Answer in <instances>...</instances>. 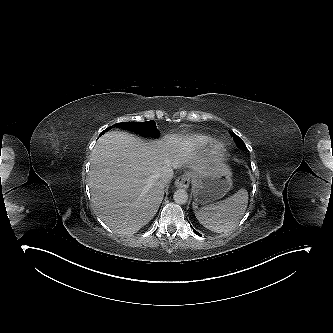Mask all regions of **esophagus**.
Masks as SVG:
<instances>
[{
    "label": "esophagus",
    "instance_id": "34e87169",
    "mask_svg": "<svg viewBox=\"0 0 333 333\" xmlns=\"http://www.w3.org/2000/svg\"><path fill=\"white\" fill-rule=\"evenodd\" d=\"M191 180V174L186 172L179 176L175 181V186L178 188H188Z\"/></svg>",
    "mask_w": 333,
    "mask_h": 333
}]
</instances>
